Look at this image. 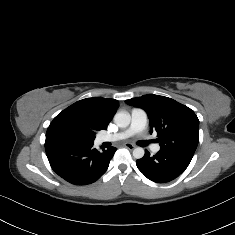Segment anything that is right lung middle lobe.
Wrapping results in <instances>:
<instances>
[{
    "label": "right lung middle lobe",
    "mask_w": 235,
    "mask_h": 235,
    "mask_svg": "<svg viewBox=\"0 0 235 235\" xmlns=\"http://www.w3.org/2000/svg\"><path fill=\"white\" fill-rule=\"evenodd\" d=\"M62 137L68 142L93 143L95 136L76 125H67L62 130Z\"/></svg>",
    "instance_id": "right-lung-middle-lobe-1"
}]
</instances>
